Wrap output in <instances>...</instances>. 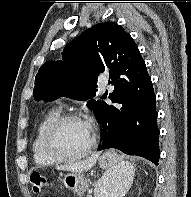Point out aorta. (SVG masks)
Instances as JSON below:
<instances>
[{"label": "aorta", "mask_w": 191, "mask_h": 197, "mask_svg": "<svg viewBox=\"0 0 191 197\" xmlns=\"http://www.w3.org/2000/svg\"><path fill=\"white\" fill-rule=\"evenodd\" d=\"M108 185H109L108 175H105L98 182L97 190L99 191V197L105 196L108 194L107 189H106Z\"/></svg>", "instance_id": "obj_1"}]
</instances>
